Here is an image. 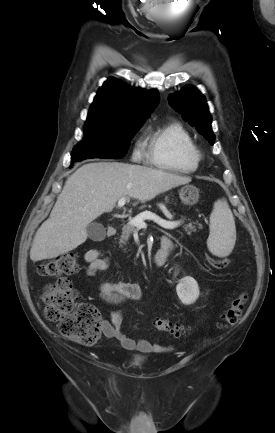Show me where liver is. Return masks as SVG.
<instances>
[{
  "label": "liver",
  "instance_id": "obj_1",
  "mask_svg": "<svg viewBox=\"0 0 275 433\" xmlns=\"http://www.w3.org/2000/svg\"><path fill=\"white\" fill-rule=\"evenodd\" d=\"M189 182L190 177L141 165L85 164L67 179L49 218L37 230L30 259H52L74 250L86 241L87 226L123 197L144 203Z\"/></svg>",
  "mask_w": 275,
  "mask_h": 433
}]
</instances>
